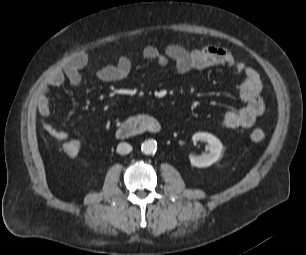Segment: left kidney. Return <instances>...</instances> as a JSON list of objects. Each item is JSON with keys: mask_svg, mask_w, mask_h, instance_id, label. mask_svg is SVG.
Returning <instances> with one entry per match:
<instances>
[{"mask_svg": "<svg viewBox=\"0 0 306 255\" xmlns=\"http://www.w3.org/2000/svg\"><path fill=\"white\" fill-rule=\"evenodd\" d=\"M192 140L194 144L198 141L207 142L209 145V153L200 156H191V165L199 168L208 167L219 159L223 145L217 137L207 132H197L192 136Z\"/></svg>", "mask_w": 306, "mask_h": 255, "instance_id": "5707ae66", "label": "left kidney"}]
</instances>
